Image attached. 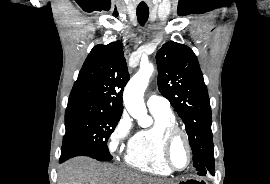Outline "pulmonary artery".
Listing matches in <instances>:
<instances>
[{
  "instance_id": "e3ab8cb5",
  "label": "pulmonary artery",
  "mask_w": 270,
  "mask_h": 184,
  "mask_svg": "<svg viewBox=\"0 0 270 184\" xmlns=\"http://www.w3.org/2000/svg\"><path fill=\"white\" fill-rule=\"evenodd\" d=\"M147 106L150 110H160V111H169L170 103L169 101L161 96L151 95L147 99Z\"/></svg>"
}]
</instances>
